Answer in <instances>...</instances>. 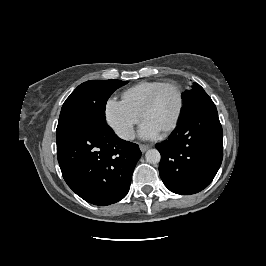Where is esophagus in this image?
I'll use <instances>...</instances> for the list:
<instances>
[{
  "label": "esophagus",
  "instance_id": "1",
  "mask_svg": "<svg viewBox=\"0 0 266 266\" xmlns=\"http://www.w3.org/2000/svg\"><path fill=\"white\" fill-rule=\"evenodd\" d=\"M139 147L142 153H145L150 148L149 145L146 144H140Z\"/></svg>",
  "mask_w": 266,
  "mask_h": 266
}]
</instances>
